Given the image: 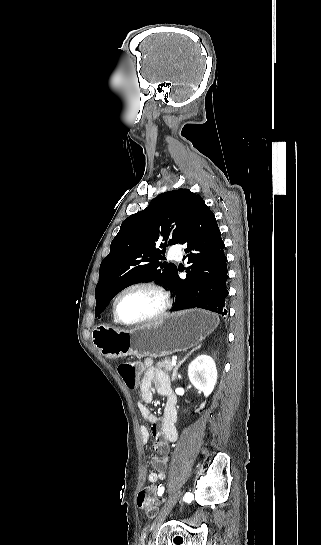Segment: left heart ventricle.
<instances>
[{
    "mask_svg": "<svg viewBox=\"0 0 321 545\" xmlns=\"http://www.w3.org/2000/svg\"><path fill=\"white\" fill-rule=\"evenodd\" d=\"M162 306L161 298L153 291L135 289L119 300L118 312L126 322H137L154 315Z\"/></svg>",
    "mask_w": 321,
    "mask_h": 545,
    "instance_id": "b2bd125f",
    "label": "left heart ventricle"
}]
</instances>
